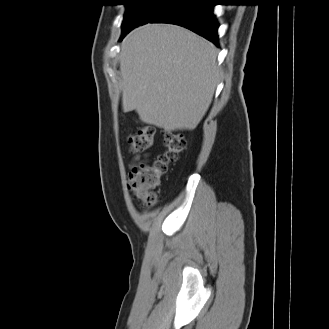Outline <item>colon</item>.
<instances>
[{
  "instance_id": "colon-1",
  "label": "colon",
  "mask_w": 329,
  "mask_h": 329,
  "mask_svg": "<svg viewBox=\"0 0 329 329\" xmlns=\"http://www.w3.org/2000/svg\"><path fill=\"white\" fill-rule=\"evenodd\" d=\"M130 149L143 153L154 147V128L142 126L136 134L129 136ZM165 150L152 163L135 167L129 175L128 190L142 208H151L158 197L155 190L161 185L168 166L178 160L186 148V140L181 133L167 132L164 135Z\"/></svg>"
}]
</instances>
